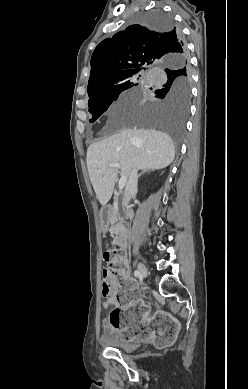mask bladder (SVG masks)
<instances>
[{
	"instance_id": "bladder-1",
	"label": "bladder",
	"mask_w": 248,
	"mask_h": 389,
	"mask_svg": "<svg viewBox=\"0 0 248 389\" xmlns=\"http://www.w3.org/2000/svg\"><path fill=\"white\" fill-rule=\"evenodd\" d=\"M100 341L104 346L118 349L122 352H133L140 346L138 341L124 339L122 333L117 330L104 332L101 335Z\"/></svg>"
}]
</instances>
